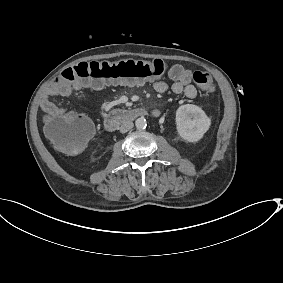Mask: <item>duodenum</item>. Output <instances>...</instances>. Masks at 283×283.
<instances>
[{
  "label": "duodenum",
  "instance_id": "1",
  "mask_svg": "<svg viewBox=\"0 0 283 283\" xmlns=\"http://www.w3.org/2000/svg\"><path fill=\"white\" fill-rule=\"evenodd\" d=\"M146 111L143 108L135 107L125 110H113L104 119V127L107 131L113 132L117 128L129 120H134L146 116Z\"/></svg>",
  "mask_w": 283,
  "mask_h": 283
}]
</instances>
